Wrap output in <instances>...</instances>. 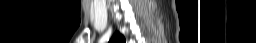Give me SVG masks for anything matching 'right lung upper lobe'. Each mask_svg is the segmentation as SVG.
Here are the masks:
<instances>
[{
    "instance_id": "cb5924a9",
    "label": "right lung upper lobe",
    "mask_w": 256,
    "mask_h": 43,
    "mask_svg": "<svg viewBox=\"0 0 256 43\" xmlns=\"http://www.w3.org/2000/svg\"><path fill=\"white\" fill-rule=\"evenodd\" d=\"M110 43H125V39L121 34L115 33L113 38L110 40Z\"/></svg>"
}]
</instances>
